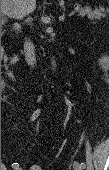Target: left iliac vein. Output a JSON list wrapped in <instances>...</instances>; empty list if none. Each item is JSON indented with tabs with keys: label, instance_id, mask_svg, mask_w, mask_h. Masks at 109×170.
<instances>
[{
	"label": "left iliac vein",
	"instance_id": "obj_1",
	"mask_svg": "<svg viewBox=\"0 0 109 170\" xmlns=\"http://www.w3.org/2000/svg\"><path fill=\"white\" fill-rule=\"evenodd\" d=\"M73 168H74V170H83L84 169V167H82L81 164L77 161H75L73 163Z\"/></svg>",
	"mask_w": 109,
	"mask_h": 170
}]
</instances>
